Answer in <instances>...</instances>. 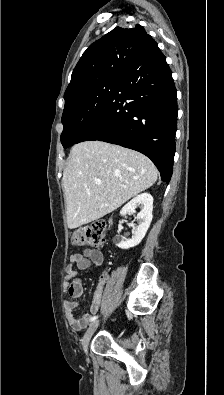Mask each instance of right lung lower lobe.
<instances>
[{
  "label": "right lung lower lobe",
  "instance_id": "right-lung-lower-lobe-1",
  "mask_svg": "<svg viewBox=\"0 0 224 395\" xmlns=\"http://www.w3.org/2000/svg\"><path fill=\"white\" fill-rule=\"evenodd\" d=\"M172 72L157 43L148 38L121 77L105 108L78 140H99L149 157L168 183L172 176L177 120Z\"/></svg>",
  "mask_w": 224,
  "mask_h": 395
}]
</instances>
